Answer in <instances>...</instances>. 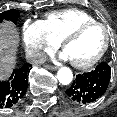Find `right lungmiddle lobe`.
<instances>
[{
	"mask_svg": "<svg viewBox=\"0 0 117 117\" xmlns=\"http://www.w3.org/2000/svg\"><path fill=\"white\" fill-rule=\"evenodd\" d=\"M18 17H19L18 10H8L3 13H0V23H2L3 20H10L16 24Z\"/></svg>",
	"mask_w": 117,
	"mask_h": 117,
	"instance_id": "obj_1",
	"label": "right lung middle lobe"
}]
</instances>
